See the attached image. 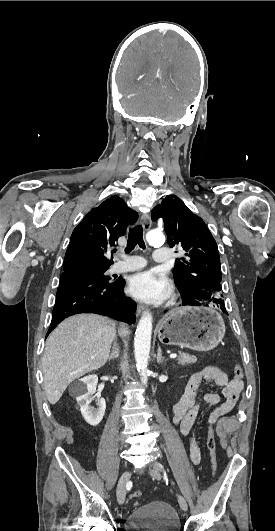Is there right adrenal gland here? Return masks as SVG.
<instances>
[{
	"instance_id": "right-adrenal-gland-1",
	"label": "right adrenal gland",
	"mask_w": 275,
	"mask_h": 531,
	"mask_svg": "<svg viewBox=\"0 0 275 531\" xmlns=\"http://www.w3.org/2000/svg\"><path fill=\"white\" fill-rule=\"evenodd\" d=\"M119 357V349L116 345V343H114L113 347H112V353L108 359V361H112V359H118Z\"/></svg>"
}]
</instances>
